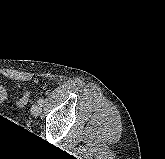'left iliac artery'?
<instances>
[{
    "label": "left iliac artery",
    "mask_w": 165,
    "mask_h": 159,
    "mask_svg": "<svg viewBox=\"0 0 165 159\" xmlns=\"http://www.w3.org/2000/svg\"><path fill=\"white\" fill-rule=\"evenodd\" d=\"M38 102L42 105V104L44 103V98L41 97V98L38 100Z\"/></svg>",
    "instance_id": "obj_1"
}]
</instances>
